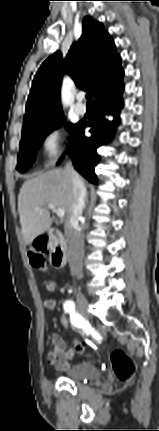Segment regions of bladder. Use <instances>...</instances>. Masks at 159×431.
Here are the masks:
<instances>
[{
  "label": "bladder",
  "instance_id": "bladder-1",
  "mask_svg": "<svg viewBox=\"0 0 159 431\" xmlns=\"http://www.w3.org/2000/svg\"><path fill=\"white\" fill-rule=\"evenodd\" d=\"M63 376L75 382L92 380L100 376V371L91 362L84 361L70 367Z\"/></svg>",
  "mask_w": 159,
  "mask_h": 431
}]
</instances>
